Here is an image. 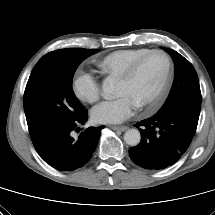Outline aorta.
Instances as JSON below:
<instances>
[{"label":"aorta","mask_w":215,"mask_h":215,"mask_svg":"<svg viewBox=\"0 0 215 215\" xmlns=\"http://www.w3.org/2000/svg\"><path fill=\"white\" fill-rule=\"evenodd\" d=\"M117 93L116 81L107 77L102 83V96L106 100L113 99ZM124 141L130 146H137L141 141V135L137 129H129L124 134Z\"/></svg>","instance_id":"aorta-1"}]
</instances>
